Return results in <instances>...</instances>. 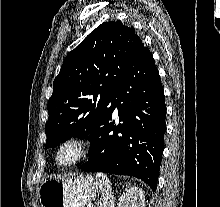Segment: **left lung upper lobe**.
<instances>
[{
  "label": "left lung upper lobe",
  "instance_id": "left-lung-upper-lobe-1",
  "mask_svg": "<svg viewBox=\"0 0 220 207\" xmlns=\"http://www.w3.org/2000/svg\"><path fill=\"white\" fill-rule=\"evenodd\" d=\"M142 40L119 21L104 22L63 61L53 82L46 148L71 137L89 140Z\"/></svg>",
  "mask_w": 220,
  "mask_h": 207
}]
</instances>
